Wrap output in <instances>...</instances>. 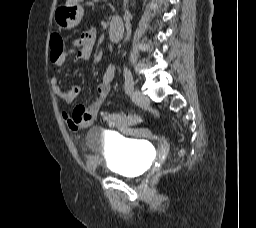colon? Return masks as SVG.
Returning <instances> with one entry per match:
<instances>
[{"mask_svg":"<svg viewBox=\"0 0 256 228\" xmlns=\"http://www.w3.org/2000/svg\"><path fill=\"white\" fill-rule=\"evenodd\" d=\"M51 58H57L64 51V41L62 37L55 33L51 36ZM141 121V117L136 114H124V113H107L104 115V122L113 127H123L136 125ZM184 149H180L178 156L184 155Z\"/></svg>","mask_w":256,"mask_h":228,"instance_id":"colon-1","label":"colon"}]
</instances>
